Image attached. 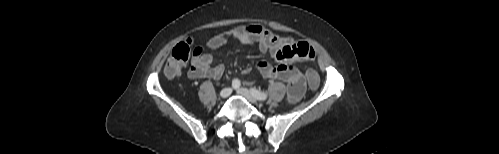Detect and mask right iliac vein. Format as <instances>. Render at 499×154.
Masks as SVG:
<instances>
[{
  "label": "right iliac vein",
  "mask_w": 499,
  "mask_h": 154,
  "mask_svg": "<svg viewBox=\"0 0 499 154\" xmlns=\"http://www.w3.org/2000/svg\"><path fill=\"white\" fill-rule=\"evenodd\" d=\"M231 93H232V89L229 87H226L220 91V96L222 98H227L228 96H230Z\"/></svg>",
  "instance_id": "63e3f726"
}]
</instances>
